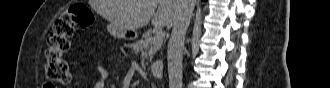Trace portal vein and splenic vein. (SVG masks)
Listing matches in <instances>:
<instances>
[{
  "label": "portal vein and splenic vein",
  "instance_id": "18ae733b",
  "mask_svg": "<svg viewBox=\"0 0 330 88\" xmlns=\"http://www.w3.org/2000/svg\"><path fill=\"white\" fill-rule=\"evenodd\" d=\"M163 39H164V33H163V31L161 29H157L156 32H155L154 40L157 43H162L163 42Z\"/></svg>",
  "mask_w": 330,
  "mask_h": 88
}]
</instances>
